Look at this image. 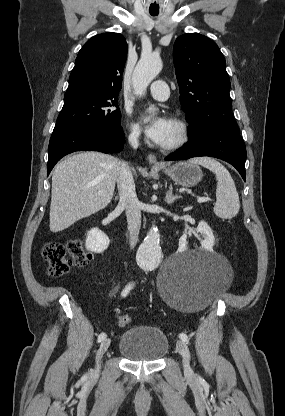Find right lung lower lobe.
Masks as SVG:
<instances>
[{"label":"right lung lower lobe","instance_id":"obj_1","mask_svg":"<svg viewBox=\"0 0 285 416\" xmlns=\"http://www.w3.org/2000/svg\"><path fill=\"white\" fill-rule=\"evenodd\" d=\"M124 139V132L120 127H55L48 148V175L54 165L69 153L83 150L117 153L122 150Z\"/></svg>","mask_w":285,"mask_h":416}]
</instances>
